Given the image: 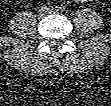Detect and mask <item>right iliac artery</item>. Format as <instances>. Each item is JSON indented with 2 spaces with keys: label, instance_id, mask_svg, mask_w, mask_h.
I'll return each mask as SVG.
<instances>
[{
  "label": "right iliac artery",
  "instance_id": "obj_1",
  "mask_svg": "<svg viewBox=\"0 0 111 106\" xmlns=\"http://www.w3.org/2000/svg\"><path fill=\"white\" fill-rule=\"evenodd\" d=\"M51 9H52V10H57V9H58V6L52 5V6H51Z\"/></svg>",
  "mask_w": 111,
  "mask_h": 106
}]
</instances>
